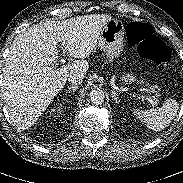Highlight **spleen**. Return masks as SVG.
<instances>
[{"mask_svg":"<svg viewBox=\"0 0 183 183\" xmlns=\"http://www.w3.org/2000/svg\"><path fill=\"white\" fill-rule=\"evenodd\" d=\"M179 110L178 102L173 98L164 101L162 107L145 111L135 110L134 115L152 131H161L168 127Z\"/></svg>","mask_w":183,"mask_h":183,"instance_id":"obj_1","label":"spleen"}]
</instances>
